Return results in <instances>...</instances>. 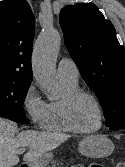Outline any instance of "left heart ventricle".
I'll return each mask as SVG.
<instances>
[{
    "label": "left heart ventricle",
    "instance_id": "left-heart-ventricle-1",
    "mask_svg": "<svg viewBox=\"0 0 125 167\" xmlns=\"http://www.w3.org/2000/svg\"><path fill=\"white\" fill-rule=\"evenodd\" d=\"M75 119L83 129L96 128L99 124V112L94 102L88 98L80 99L75 108Z\"/></svg>",
    "mask_w": 125,
    "mask_h": 167
}]
</instances>
